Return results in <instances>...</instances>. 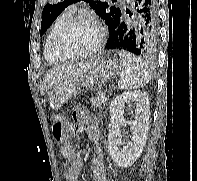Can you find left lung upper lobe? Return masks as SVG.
<instances>
[{
	"instance_id": "5c2ea615",
	"label": "left lung upper lobe",
	"mask_w": 197,
	"mask_h": 181,
	"mask_svg": "<svg viewBox=\"0 0 197 181\" xmlns=\"http://www.w3.org/2000/svg\"><path fill=\"white\" fill-rule=\"evenodd\" d=\"M80 0H53L51 4L45 5L42 12V22L40 35L49 28L58 15L69 5L77 3ZM89 3L90 7L95 10V13L105 21L108 26L113 20L121 16V11L115 6H109L108 3H102L95 0H83Z\"/></svg>"
}]
</instances>
